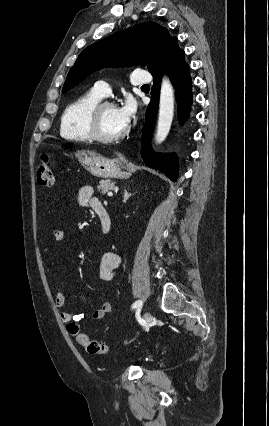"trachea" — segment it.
<instances>
[{
  "mask_svg": "<svg viewBox=\"0 0 269 426\" xmlns=\"http://www.w3.org/2000/svg\"><path fill=\"white\" fill-rule=\"evenodd\" d=\"M142 87H149V85H148V84H146V85H143Z\"/></svg>",
  "mask_w": 269,
  "mask_h": 426,
  "instance_id": "3493384b",
  "label": "trachea"
}]
</instances>
